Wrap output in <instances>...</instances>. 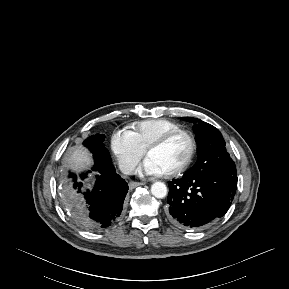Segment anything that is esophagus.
<instances>
[{"label":"esophagus","mask_w":289,"mask_h":289,"mask_svg":"<svg viewBox=\"0 0 289 289\" xmlns=\"http://www.w3.org/2000/svg\"><path fill=\"white\" fill-rule=\"evenodd\" d=\"M140 185H142V183H140V182H135V181L129 182V187H130L131 189H133V188H135V187H137V186H140Z\"/></svg>","instance_id":"34e87169"}]
</instances>
